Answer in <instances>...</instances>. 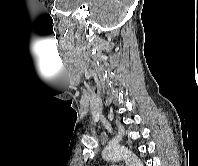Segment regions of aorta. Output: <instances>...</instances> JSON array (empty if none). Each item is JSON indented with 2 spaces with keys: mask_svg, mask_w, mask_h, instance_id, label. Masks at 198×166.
<instances>
[{
  "mask_svg": "<svg viewBox=\"0 0 198 166\" xmlns=\"http://www.w3.org/2000/svg\"><path fill=\"white\" fill-rule=\"evenodd\" d=\"M103 158L108 161L125 160L127 166H143L142 161L128 148L121 145H109L103 150Z\"/></svg>",
  "mask_w": 198,
  "mask_h": 166,
  "instance_id": "aorta-1",
  "label": "aorta"
}]
</instances>
